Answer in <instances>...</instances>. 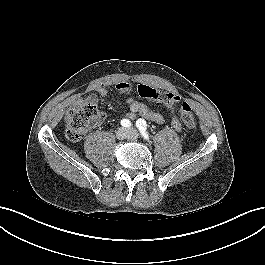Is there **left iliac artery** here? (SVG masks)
I'll return each instance as SVG.
<instances>
[{
	"label": "left iliac artery",
	"mask_w": 265,
	"mask_h": 265,
	"mask_svg": "<svg viewBox=\"0 0 265 265\" xmlns=\"http://www.w3.org/2000/svg\"><path fill=\"white\" fill-rule=\"evenodd\" d=\"M136 126L141 132V135L144 137V139L149 140V134L146 131L147 129L146 121L140 118L136 121Z\"/></svg>",
	"instance_id": "44dca946"
}]
</instances>
